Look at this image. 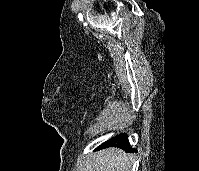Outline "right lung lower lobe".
<instances>
[{"label":"right lung lower lobe","instance_id":"right-lung-lower-lobe-1","mask_svg":"<svg viewBox=\"0 0 199 171\" xmlns=\"http://www.w3.org/2000/svg\"><path fill=\"white\" fill-rule=\"evenodd\" d=\"M107 147H120L125 149L126 152H137L136 149L130 147L127 134L125 133L112 137L105 143L101 144L96 150L104 149Z\"/></svg>","mask_w":199,"mask_h":171}]
</instances>
